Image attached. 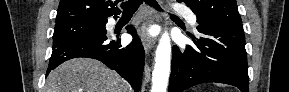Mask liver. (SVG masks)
I'll use <instances>...</instances> for the list:
<instances>
[{
  "label": "liver",
  "mask_w": 289,
  "mask_h": 92,
  "mask_svg": "<svg viewBox=\"0 0 289 92\" xmlns=\"http://www.w3.org/2000/svg\"><path fill=\"white\" fill-rule=\"evenodd\" d=\"M45 92H131V88L103 63L89 58H76L50 72Z\"/></svg>",
  "instance_id": "1"
}]
</instances>
